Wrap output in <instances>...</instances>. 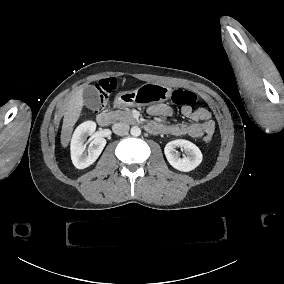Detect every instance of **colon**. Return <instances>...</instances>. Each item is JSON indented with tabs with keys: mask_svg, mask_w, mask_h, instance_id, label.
<instances>
[{
	"mask_svg": "<svg viewBox=\"0 0 284 284\" xmlns=\"http://www.w3.org/2000/svg\"><path fill=\"white\" fill-rule=\"evenodd\" d=\"M116 88H117V83L114 81V79L108 80V90L106 92H101L98 95V104L96 105V107L99 109L103 108L101 103V96L107 95L109 91L115 90ZM171 100L174 104L179 105L182 108H190L195 103V96L192 92H190L187 89L176 88L171 93ZM204 140L206 142H209L211 140L210 135H206L204 137Z\"/></svg>",
	"mask_w": 284,
	"mask_h": 284,
	"instance_id": "colon-1",
	"label": "colon"
}]
</instances>
